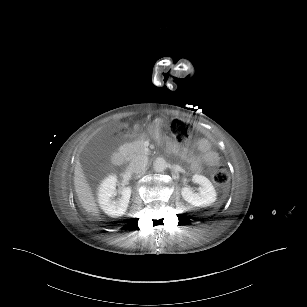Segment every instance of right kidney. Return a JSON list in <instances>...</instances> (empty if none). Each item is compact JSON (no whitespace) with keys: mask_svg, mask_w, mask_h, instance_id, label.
<instances>
[{"mask_svg":"<svg viewBox=\"0 0 307 307\" xmlns=\"http://www.w3.org/2000/svg\"><path fill=\"white\" fill-rule=\"evenodd\" d=\"M116 186L117 178L109 176L101 184L98 194L101 208L106 214L114 218L121 217L126 213L132 194L130 186L122 187L120 190H117ZM118 193L121 194V197L115 199Z\"/></svg>","mask_w":307,"mask_h":307,"instance_id":"obj_1","label":"right kidney"}]
</instances>
